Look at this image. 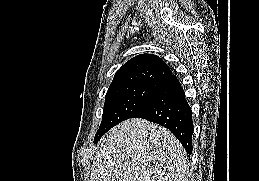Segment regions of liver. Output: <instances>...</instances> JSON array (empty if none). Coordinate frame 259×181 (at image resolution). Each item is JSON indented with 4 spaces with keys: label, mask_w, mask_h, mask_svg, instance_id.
<instances>
[{
    "label": "liver",
    "mask_w": 259,
    "mask_h": 181,
    "mask_svg": "<svg viewBox=\"0 0 259 181\" xmlns=\"http://www.w3.org/2000/svg\"><path fill=\"white\" fill-rule=\"evenodd\" d=\"M187 155L166 128L130 119L100 140L90 181H188Z\"/></svg>",
    "instance_id": "obj_1"
}]
</instances>
